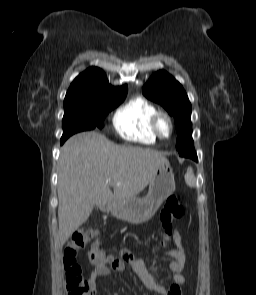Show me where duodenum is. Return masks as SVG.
Returning <instances> with one entry per match:
<instances>
[{"mask_svg":"<svg viewBox=\"0 0 256 295\" xmlns=\"http://www.w3.org/2000/svg\"><path fill=\"white\" fill-rule=\"evenodd\" d=\"M115 207V202L113 200H108L102 205V209L105 212H111Z\"/></svg>","mask_w":256,"mask_h":295,"instance_id":"410a0bca","label":"duodenum"}]
</instances>
